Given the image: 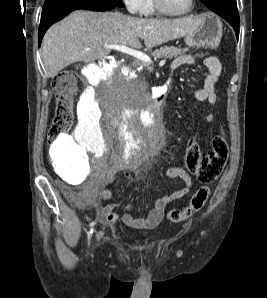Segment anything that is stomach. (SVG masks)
I'll return each mask as SVG.
<instances>
[{
  "mask_svg": "<svg viewBox=\"0 0 267 298\" xmlns=\"http://www.w3.org/2000/svg\"><path fill=\"white\" fill-rule=\"evenodd\" d=\"M200 19L202 23L195 32L185 36V43L190 47L216 48L223 35L222 22L218 17L210 14H204Z\"/></svg>",
  "mask_w": 267,
  "mask_h": 298,
  "instance_id": "0dacf381",
  "label": "stomach"
}]
</instances>
